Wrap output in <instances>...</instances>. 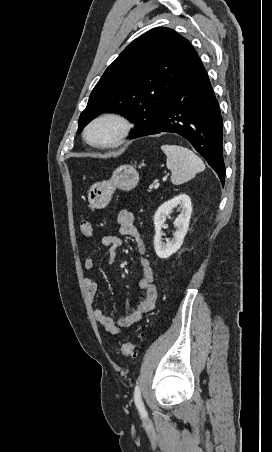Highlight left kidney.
I'll use <instances>...</instances> for the list:
<instances>
[{"mask_svg": "<svg viewBox=\"0 0 272 452\" xmlns=\"http://www.w3.org/2000/svg\"><path fill=\"white\" fill-rule=\"evenodd\" d=\"M174 208H177L180 212L174 221L176 231L173 234V238L165 243L163 242L161 228L166 217ZM191 213V199L187 194H180L166 201L157 209L154 215V249L159 258L166 259L180 249L189 228Z\"/></svg>", "mask_w": 272, "mask_h": 452, "instance_id": "1", "label": "left kidney"}]
</instances>
